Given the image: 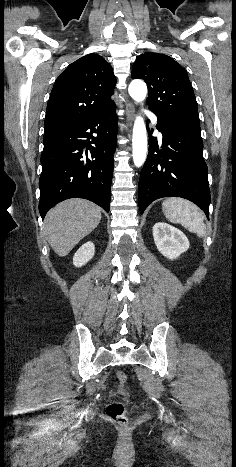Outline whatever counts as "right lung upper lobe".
<instances>
[{
  "instance_id": "obj_1",
  "label": "right lung upper lobe",
  "mask_w": 236,
  "mask_h": 467,
  "mask_svg": "<svg viewBox=\"0 0 236 467\" xmlns=\"http://www.w3.org/2000/svg\"><path fill=\"white\" fill-rule=\"evenodd\" d=\"M116 77L97 54L81 57L59 75L48 100L45 132L83 123L115 105L111 100Z\"/></svg>"
}]
</instances>
